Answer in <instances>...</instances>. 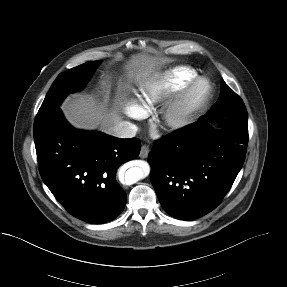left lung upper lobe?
<instances>
[{"label":"left lung upper lobe","mask_w":287,"mask_h":287,"mask_svg":"<svg viewBox=\"0 0 287 287\" xmlns=\"http://www.w3.org/2000/svg\"><path fill=\"white\" fill-rule=\"evenodd\" d=\"M202 117L205 121L218 119L226 126L248 128L247 111L242 99L224 81L218 102Z\"/></svg>","instance_id":"1"}]
</instances>
